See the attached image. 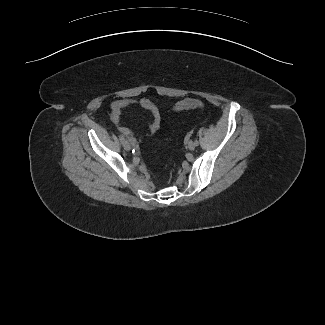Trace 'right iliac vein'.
<instances>
[{
    "label": "right iliac vein",
    "mask_w": 325,
    "mask_h": 325,
    "mask_svg": "<svg viewBox=\"0 0 325 325\" xmlns=\"http://www.w3.org/2000/svg\"><path fill=\"white\" fill-rule=\"evenodd\" d=\"M122 145H123L124 149L127 150V151H129L131 149V146H130V144H129V142L127 140H124L122 142Z\"/></svg>",
    "instance_id": "63e3f726"
}]
</instances>
